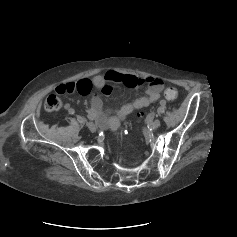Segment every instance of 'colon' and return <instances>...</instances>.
<instances>
[{"label":"colon","instance_id":"obj_1","mask_svg":"<svg viewBox=\"0 0 237 237\" xmlns=\"http://www.w3.org/2000/svg\"><path fill=\"white\" fill-rule=\"evenodd\" d=\"M164 96L169 101H174L178 97V91L174 87H167L164 90ZM60 106H61L60 100L55 95H50L45 102V109L48 112H56L60 109Z\"/></svg>","mask_w":237,"mask_h":237}]
</instances>
